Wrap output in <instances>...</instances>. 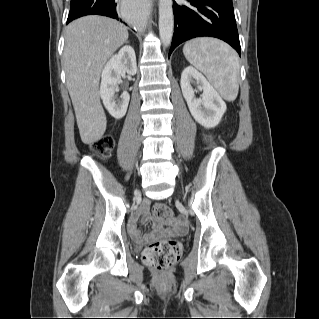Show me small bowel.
<instances>
[{
    "label": "small bowel",
    "instance_id": "small-bowel-1",
    "mask_svg": "<svg viewBox=\"0 0 319 319\" xmlns=\"http://www.w3.org/2000/svg\"><path fill=\"white\" fill-rule=\"evenodd\" d=\"M149 200L147 198H144L139 209L133 214V216L130 219V222L128 224V231L130 234L138 239H141L142 241H148L151 238L142 239L139 230L136 226L137 219L141 216L144 221H151L153 223V226L157 232L156 236H160L163 234H182L186 231L187 223L186 221L180 217L176 216L172 218L169 222L170 228L163 229V223L159 220L151 219L148 214V207H149Z\"/></svg>",
    "mask_w": 319,
    "mask_h": 319
}]
</instances>
